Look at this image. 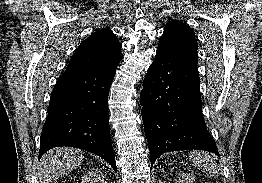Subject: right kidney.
Returning <instances> with one entry per match:
<instances>
[{
  "mask_svg": "<svg viewBox=\"0 0 262 183\" xmlns=\"http://www.w3.org/2000/svg\"><path fill=\"white\" fill-rule=\"evenodd\" d=\"M103 174L100 169H95L87 172L82 180V183H103Z\"/></svg>",
  "mask_w": 262,
  "mask_h": 183,
  "instance_id": "right-kidney-1",
  "label": "right kidney"
}]
</instances>
